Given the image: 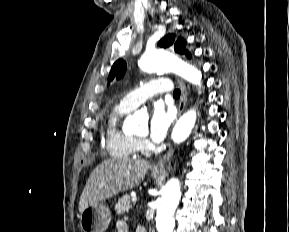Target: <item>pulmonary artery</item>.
<instances>
[{"label": "pulmonary artery", "mask_w": 289, "mask_h": 232, "mask_svg": "<svg viewBox=\"0 0 289 232\" xmlns=\"http://www.w3.org/2000/svg\"><path fill=\"white\" fill-rule=\"evenodd\" d=\"M172 90V83L167 78L153 79L141 87L125 95L120 103L127 109L132 110L139 106L149 97L159 94L168 93Z\"/></svg>", "instance_id": "pulmonary-artery-1"}]
</instances>
